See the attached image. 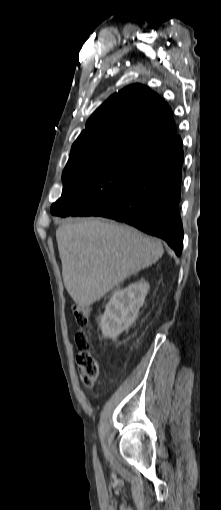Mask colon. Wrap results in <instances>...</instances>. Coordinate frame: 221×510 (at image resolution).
<instances>
[{
	"label": "colon",
	"instance_id": "obj_1",
	"mask_svg": "<svg viewBox=\"0 0 221 510\" xmlns=\"http://www.w3.org/2000/svg\"><path fill=\"white\" fill-rule=\"evenodd\" d=\"M72 311L76 323L80 327H86L89 324L91 309L85 305H73ZM76 346L78 349L77 363L79 366V378L82 384L91 387L96 382L100 365L97 361L92 347V342L89 335L84 331H79L76 334Z\"/></svg>",
	"mask_w": 221,
	"mask_h": 510
}]
</instances>
